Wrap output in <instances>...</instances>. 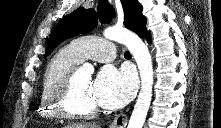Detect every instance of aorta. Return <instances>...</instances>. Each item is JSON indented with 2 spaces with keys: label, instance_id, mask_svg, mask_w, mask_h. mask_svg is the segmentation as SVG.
I'll list each match as a JSON object with an SVG mask.
<instances>
[{
  "label": "aorta",
  "instance_id": "1",
  "mask_svg": "<svg viewBox=\"0 0 221 128\" xmlns=\"http://www.w3.org/2000/svg\"><path fill=\"white\" fill-rule=\"evenodd\" d=\"M103 35L109 40L124 44L137 63L141 90L127 128H142L152 99L153 66L149 50L138 35L124 28L109 27ZM81 69L88 73L94 71L90 63H84Z\"/></svg>",
  "mask_w": 221,
  "mask_h": 128
}]
</instances>
